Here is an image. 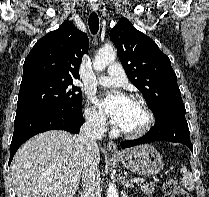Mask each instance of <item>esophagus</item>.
Wrapping results in <instances>:
<instances>
[{
    "instance_id": "34e87169",
    "label": "esophagus",
    "mask_w": 209,
    "mask_h": 197,
    "mask_svg": "<svg viewBox=\"0 0 209 197\" xmlns=\"http://www.w3.org/2000/svg\"><path fill=\"white\" fill-rule=\"evenodd\" d=\"M99 8V4L98 3H91L90 4V9L92 11H97ZM107 150L114 153V154H121V152L118 150L117 144L113 141H109L107 143Z\"/></svg>"
}]
</instances>
